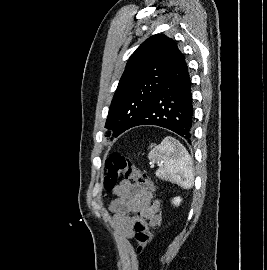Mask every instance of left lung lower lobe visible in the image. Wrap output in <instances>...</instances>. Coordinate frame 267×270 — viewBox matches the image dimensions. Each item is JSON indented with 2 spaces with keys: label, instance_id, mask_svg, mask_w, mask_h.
Wrapping results in <instances>:
<instances>
[{
  "label": "left lung lower lobe",
  "instance_id": "1",
  "mask_svg": "<svg viewBox=\"0 0 267 270\" xmlns=\"http://www.w3.org/2000/svg\"><path fill=\"white\" fill-rule=\"evenodd\" d=\"M193 123L191 81L184 56L180 53L168 80L132 127H164L191 144Z\"/></svg>",
  "mask_w": 267,
  "mask_h": 270
}]
</instances>
